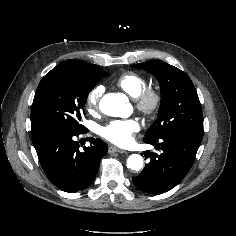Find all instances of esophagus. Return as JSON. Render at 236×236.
Masks as SVG:
<instances>
[{"mask_svg":"<svg viewBox=\"0 0 236 236\" xmlns=\"http://www.w3.org/2000/svg\"><path fill=\"white\" fill-rule=\"evenodd\" d=\"M108 152H109L110 154L116 153V152H117V153H125L124 150H122V149H120V148H118V147H116V146H113V145L109 146Z\"/></svg>","mask_w":236,"mask_h":236,"instance_id":"34e87169","label":"esophagus"}]
</instances>
